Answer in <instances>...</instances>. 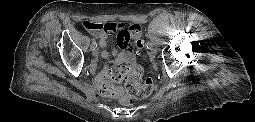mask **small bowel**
I'll list each match as a JSON object with an SVG mask.
<instances>
[{
    "instance_id": "1",
    "label": "small bowel",
    "mask_w": 255,
    "mask_h": 122,
    "mask_svg": "<svg viewBox=\"0 0 255 122\" xmlns=\"http://www.w3.org/2000/svg\"><path fill=\"white\" fill-rule=\"evenodd\" d=\"M93 36L97 39L98 45L101 48L106 47L108 42L107 33L96 32V33H93ZM116 42L120 50L113 49L111 52L112 56L115 57V61L118 63L135 64L136 63V47L130 41H126V39L124 37H121L120 35L117 36ZM127 46H129V48H126ZM101 56L103 58H107L109 56V53L106 50H104ZM119 92L120 93L122 92L121 88H119ZM105 96L117 97V96H110V95H105Z\"/></svg>"
}]
</instances>
